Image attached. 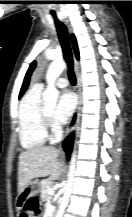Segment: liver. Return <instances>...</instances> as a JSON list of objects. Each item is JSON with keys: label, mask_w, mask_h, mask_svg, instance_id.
Listing matches in <instances>:
<instances>
[{"label": "liver", "mask_w": 132, "mask_h": 217, "mask_svg": "<svg viewBox=\"0 0 132 217\" xmlns=\"http://www.w3.org/2000/svg\"><path fill=\"white\" fill-rule=\"evenodd\" d=\"M59 150L54 147H35L21 152L18 164V194H22L31 180L49 176L57 180L62 174L58 160Z\"/></svg>", "instance_id": "obj_1"}]
</instances>
